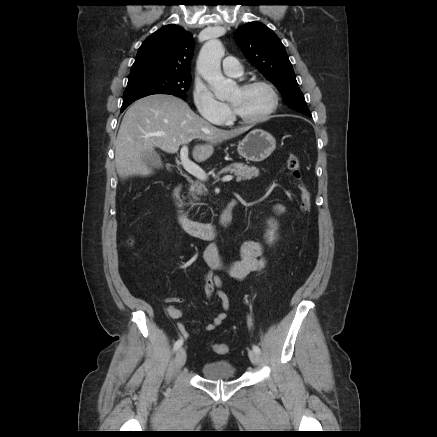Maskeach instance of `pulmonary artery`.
<instances>
[{"instance_id":"e3ab8cb5","label":"pulmonary artery","mask_w":437,"mask_h":437,"mask_svg":"<svg viewBox=\"0 0 437 437\" xmlns=\"http://www.w3.org/2000/svg\"><path fill=\"white\" fill-rule=\"evenodd\" d=\"M222 70L224 74L231 77H238L242 74V66L233 56H228L223 60Z\"/></svg>"}]
</instances>
